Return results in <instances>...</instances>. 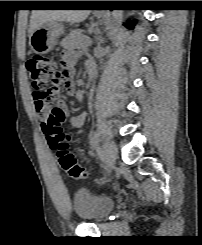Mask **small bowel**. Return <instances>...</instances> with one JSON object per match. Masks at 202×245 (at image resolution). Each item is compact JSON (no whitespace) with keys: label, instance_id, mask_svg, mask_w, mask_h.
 I'll return each instance as SVG.
<instances>
[{"label":"small bowel","instance_id":"1","mask_svg":"<svg viewBox=\"0 0 202 245\" xmlns=\"http://www.w3.org/2000/svg\"><path fill=\"white\" fill-rule=\"evenodd\" d=\"M77 57H78L77 54L71 51H65L61 56V62L63 67H65L69 71V74L71 75L74 73ZM89 64L93 65L95 68L94 62L90 59L86 62V66H88ZM65 87L70 96H73L75 94V86L72 82L69 81L66 82ZM33 106H34V112L36 114V117L40 120H45L44 122H46L48 113L44 110V107L43 106L38 107L36 101ZM55 110L60 115H62L64 119H68L74 127H81L84 124L87 117L86 113H81L77 116L71 117L70 111L64 101H59L55 107ZM43 131H44V127H43Z\"/></svg>","mask_w":202,"mask_h":245}]
</instances>
